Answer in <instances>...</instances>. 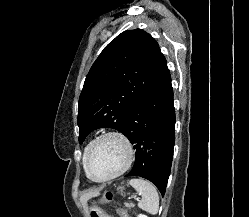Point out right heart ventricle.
I'll return each instance as SVG.
<instances>
[{
  "instance_id": "right-heart-ventricle-1",
  "label": "right heart ventricle",
  "mask_w": 249,
  "mask_h": 217,
  "mask_svg": "<svg viewBox=\"0 0 249 217\" xmlns=\"http://www.w3.org/2000/svg\"><path fill=\"white\" fill-rule=\"evenodd\" d=\"M89 145H90V144H88V145L84 148V152H83V159H82V161H83V165H84V158H85V154H86V152H87V149H88Z\"/></svg>"
}]
</instances>
